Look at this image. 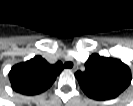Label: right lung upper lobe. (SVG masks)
I'll return each instance as SVG.
<instances>
[{"label": "right lung upper lobe", "instance_id": "cb5924a9", "mask_svg": "<svg viewBox=\"0 0 133 106\" xmlns=\"http://www.w3.org/2000/svg\"><path fill=\"white\" fill-rule=\"evenodd\" d=\"M62 70L60 61L51 65L37 55L14 65L9 72V79L14 91L24 95H36L50 88Z\"/></svg>", "mask_w": 133, "mask_h": 106}]
</instances>
